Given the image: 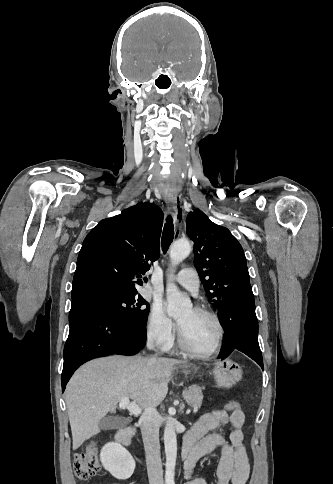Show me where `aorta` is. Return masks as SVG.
<instances>
[{
	"mask_svg": "<svg viewBox=\"0 0 333 484\" xmlns=\"http://www.w3.org/2000/svg\"><path fill=\"white\" fill-rule=\"evenodd\" d=\"M191 245L188 240L180 239L175 241L170 247V261L173 267L182 262L191 252ZM167 314L170 317L179 316L187 311L191 306L188 297L180 293L177 286L169 282L166 288ZM165 446V484H175V466L177 458V437L174 426L169 421L164 429Z\"/></svg>",
	"mask_w": 333,
	"mask_h": 484,
	"instance_id": "762f6f07",
	"label": "aorta"
}]
</instances>
